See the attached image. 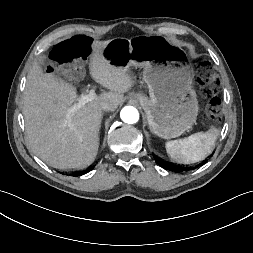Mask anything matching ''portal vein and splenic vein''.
<instances>
[{
  "label": "portal vein and splenic vein",
  "mask_w": 253,
  "mask_h": 253,
  "mask_svg": "<svg viewBox=\"0 0 253 253\" xmlns=\"http://www.w3.org/2000/svg\"><path fill=\"white\" fill-rule=\"evenodd\" d=\"M96 97L95 91L94 90H90L87 94H82L80 99H79V103L80 104H86L89 101L94 100V98Z\"/></svg>",
  "instance_id": "portal-vein-and-splenic-vein-1"
}]
</instances>
